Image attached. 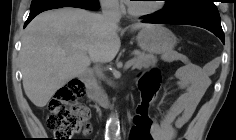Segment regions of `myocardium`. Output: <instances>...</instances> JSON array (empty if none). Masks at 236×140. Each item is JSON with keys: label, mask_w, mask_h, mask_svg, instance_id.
Returning <instances> with one entry per match:
<instances>
[{"label": "myocardium", "mask_w": 236, "mask_h": 140, "mask_svg": "<svg viewBox=\"0 0 236 140\" xmlns=\"http://www.w3.org/2000/svg\"><path fill=\"white\" fill-rule=\"evenodd\" d=\"M164 7L163 2L157 3L154 7L149 9H135L131 2L128 3V12L135 17H145L157 13Z\"/></svg>", "instance_id": "1"}]
</instances>
